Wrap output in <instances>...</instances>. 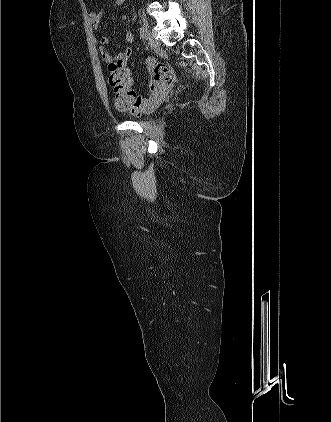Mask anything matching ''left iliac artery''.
Returning <instances> with one entry per match:
<instances>
[{
  "label": "left iliac artery",
  "instance_id": "44dca946",
  "mask_svg": "<svg viewBox=\"0 0 331 422\" xmlns=\"http://www.w3.org/2000/svg\"><path fill=\"white\" fill-rule=\"evenodd\" d=\"M147 33H148L147 28L145 26H141L140 27V35L143 39L147 38Z\"/></svg>",
  "mask_w": 331,
  "mask_h": 422
}]
</instances>
